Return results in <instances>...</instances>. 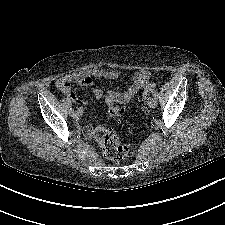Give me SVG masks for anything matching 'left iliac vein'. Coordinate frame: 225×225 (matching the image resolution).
Masks as SVG:
<instances>
[{
	"label": "left iliac vein",
	"mask_w": 225,
	"mask_h": 225,
	"mask_svg": "<svg viewBox=\"0 0 225 225\" xmlns=\"http://www.w3.org/2000/svg\"><path fill=\"white\" fill-rule=\"evenodd\" d=\"M149 106L151 108H155L157 106V99L155 97H152L150 102H149Z\"/></svg>",
	"instance_id": "1"
}]
</instances>
